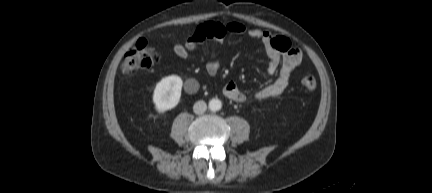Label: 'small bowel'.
I'll return each instance as SVG.
<instances>
[{"label":"small bowel","instance_id":"c3829d8e","mask_svg":"<svg viewBox=\"0 0 432 193\" xmlns=\"http://www.w3.org/2000/svg\"><path fill=\"white\" fill-rule=\"evenodd\" d=\"M220 27L226 33L238 35H247L250 38L263 44L268 58L267 72L274 75L280 67L277 79L265 86L256 89L253 97L256 99H267L282 94L290 83L292 71L301 63L302 52L299 48L292 46L291 41L281 35H273L269 31L258 28H247L239 22H228L221 24L217 22H208L200 25L194 34L184 43L174 46L175 54L181 59H187L191 52L197 49L198 44L205 40L206 34ZM222 38V37H221ZM218 38V39H221ZM220 69L219 61L211 59L206 64V71L210 76H214ZM185 91L189 94L197 92L199 84L195 79H188L185 82ZM223 94L230 100L244 102L247 99L246 94L233 83H227L223 88Z\"/></svg>","mask_w":432,"mask_h":193}]
</instances>
